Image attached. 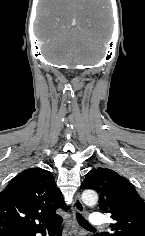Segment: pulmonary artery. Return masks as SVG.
Instances as JSON below:
<instances>
[{"label": "pulmonary artery", "instance_id": "e3ab8cb5", "mask_svg": "<svg viewBox=\"0 0 145 236\" xmlns=\"http://www.w3.org/2000/svg\"><path fill=\"white\" fill-rule=\"evenodd\" d=\"M89 223L92 227H101L106 223V219L103 214L95 213L90 215Z\"/></svg>", "mask_w": 145, "mask_h": 236}]
</instances>
